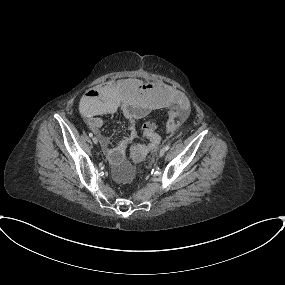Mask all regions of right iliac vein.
Returning a JSON list of instances; mask_svg holds the SVG:
<instances>
[{
	"label": "right iliac vein",
	"mask_w": 285,
	"mask_h": 285,
	"mask_svg": "<svg viewBox=\"0 0 285 285\" xmlns=\"http://www.w3.org/2000/svg\"><path fill=\"white\" fill-rule=\"evenodd\" d=\"M92 141H93L94 144H97L98 143L97 137H93Z\"/></svg>",
	"instance_id": "right-iliac-vein-1"
}]
</instances>
